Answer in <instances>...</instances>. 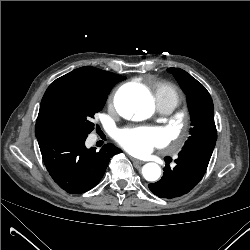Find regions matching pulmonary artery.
<instances>
[{"instance_id":"obj_1","label":"pulmonary artery","mask_w":250,"mask_h":250,"mask_svg":"<svg viewBox=\"0 0 250 250\" xmlns=\"http://www.w3.org/2000/svg\"><path fill=\"white\" fill-rule=\"evenodd\" d=\"M157 109L162 114H169L174 108L169 105H163V106L157 107Z\"/></svg>"}]
</instances>
